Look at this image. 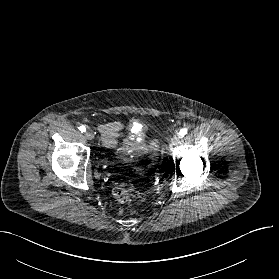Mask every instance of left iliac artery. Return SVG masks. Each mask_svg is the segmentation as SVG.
Returning <instances> with one entry per match:
<instances>
[{"instance_id": "left-iliac-artery-1", "label": "left iliac artery", "mask_w": 279, "mask_h": 279, "mask_svg": "<svg viewBox=\"0 0 279 279\" xmlns=\"http://www.w3.org/2000/svg\"><path fill=\"white\" fill-rule=\"evenodd\" d=\"M186 133H187V130L185 128H183V129L180 130L179 134H180V136L183 137Z\"/></svg>"}]
</instances>
